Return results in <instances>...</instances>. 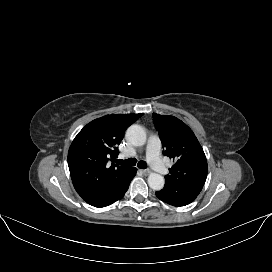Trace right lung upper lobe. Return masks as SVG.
<instances>
[{
	"instance_id": "cb5924a9",
	"label": "right lung upper lobe",
	"mask_w": 272,
	"mask_h": 272,
	"mask_svg": "<svg viewBox=\"0 0 272 272\" xmlns=\"http://www.w3.org/2000/svg\"><path fill=\"white\" fill-rule=\"evenodd\" d=\"M140 114L106 115L88 123L73 140L68 166L75 190L85 201L97 195L131 168L108 164L119 154L125 130Z\"/></svg>"
}]
</instances>
